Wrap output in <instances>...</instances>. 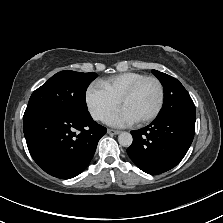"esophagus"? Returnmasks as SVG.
I'll list each match as a JSON object with an SVG mask.
<instances>
[{
	"label": "esophagus",
	"instance_id": "34e87169",
	"mask_svg": "<svg viewBox=\"0 0 223 223\" xmlns=\"http://www.w3.org/2000/svg\"><path fill=\"white\" fill-rule=\"evenodd\" d=\"M107 133L108 134H112V135H117L120 133V131L118 130H113V129H107Z\"/></svg>",
	"mask_w": 223,
	"mask_h": 223
}]
</instances>
